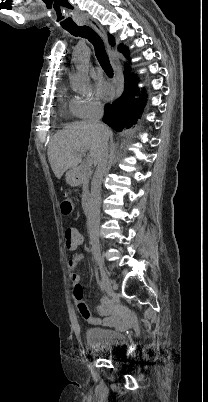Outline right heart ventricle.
Returning <instances> with one entry per match:
<instances>
[{"label": "right heart ventricle", "mask_w": 208, "mask_h": 402, "mask_svg": "<svg viewBox=\"0 0 208 402\" xmlns=\"http://www.w3.org/2000/svg\"><path fill=\"white\" fill-rule=\"evenodd\" d=\"M60 102L64 108H67L70 111L71 114H75L73 102L67 100L66 90L64 88L60 93Z\"/></svg>", "instance_id": "right-heart-ventricle-1"}]
</instances>
